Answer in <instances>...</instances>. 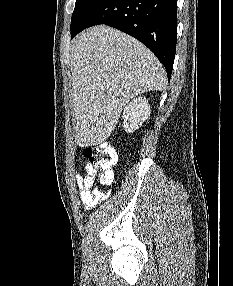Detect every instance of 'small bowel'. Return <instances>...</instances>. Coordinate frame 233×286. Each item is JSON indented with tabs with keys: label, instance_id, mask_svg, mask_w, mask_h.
I'll return each mask as SVG.
<instances>
[{
	"label": "small bowel",
	"instance_id": "1",
	"mask_svg": "<svg viewBox=\"0 0 233 286\" xmlns=\"http://www.w3.org/2000/svg\"><path fill=\"white\" fill-rule=\"evenodd\" d=\"M87 174L85 176L76 173L75 182L80 191V199L84 210H89L100 202H102L106 195L102 191L93 188L92 173L90 172L89 165H85Z\"/></svg>",
	"mask_w": 233,
	"mask_h": 286
}]
</instances>
